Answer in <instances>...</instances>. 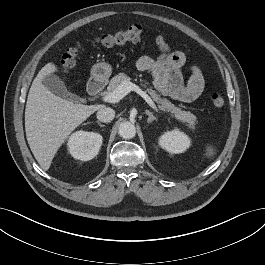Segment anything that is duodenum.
<instances>
[{
  "label": "duodenum",
  "instance_id": "1",
  "mask_svg": "<svg viewBox=\"0 0 265 265\" xmlns=\"http://www.w3.org/2000/svg\"><path fill=\"white\" fill-rule=\"evenodd\" d=\"M104 87V83L99 79H93L88 84L87 90L91 96H96Z\"/></svg>",
  "mask_w": 265,
  "mask_h": 265
}]
</instances>
